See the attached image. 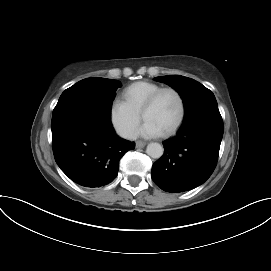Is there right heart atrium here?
<instances>
[{
  "label": "right heart atrium",
  "instance_id": "1",
  "mask_svg": "<svg viewBox=\"0 0 271 271\" xmlns=\"http://www.w3.org/2000/svg\"><path fill=\"white\" fill-rule=\"evenodd\" d=\"M109 120L118 135L130 138L136 131L141 116L133 111L124 100L115 98L110 103Z\"/></svg>",
  "mask_w": 271,
  "mask_h": 271
}]
</instances>
